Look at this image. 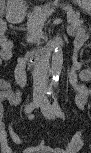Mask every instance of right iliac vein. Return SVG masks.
<instances>
[{"label": "right iliac vein", "mask_w": 91, "mask_h": 153, "mask_svg": "<svg viewBox=\"0 0 91 153\" xmlns=\"http://www.w3.org/2000/svg\"><path fill=\"white\" fill-rule=\"evenodd\" d=\"M42 102V96L40 93H35L33 96L32 104L34 108L38 107Z\"/></svg>", "instance_id": "right-iliac-vein-1"}]
</instances>
